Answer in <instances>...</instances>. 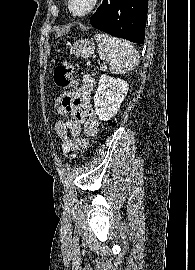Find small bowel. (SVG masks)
Masks as SVG:
<instances>
[{"label":"small bowel","mask_w":195,"mask_h":270,"mask_svg":"<svg viewBox=\"0 0 195 270\" xmlns=\"http://www.w3.org/2000/svg\"><path fill=\"white\" fill-rule=\"evenodd\" d=\"M94 83L95 79L92 75H84L72 106L56 109L60 115L74 116L70 120H59L54 125L56 133L62 141V151L65 156L73 157L75 152L80 149L79 141L82 129L89 136H94L97 132L99 122L91 105Z\"/></svg>","instance_id":"1"}]
</instances>
